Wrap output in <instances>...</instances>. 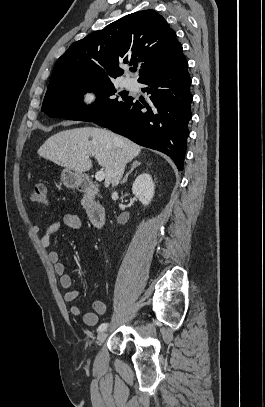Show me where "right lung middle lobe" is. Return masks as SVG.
I'll return each instance as SVG.
<instances>
[{"mask_svg": "<svg viewBox=\"0 0 265 407\" xmlns=\"http://www.w3.org/2000/svg\"><path fill=\"white\" fill-rule=\"evenodd\" d=\"M91 91L96 92L97 100L87 107L82 102V96ZM116 93L111 80L59 81L49 84L42 111L50 117L94 121L129 99L122 96L123 101H118L114 98Z\"/></svg>", "mask_w": 265, "mask_h": 407, "instance_id": "obj_1", "label": "right lung middle lobe"}]
</instances>
